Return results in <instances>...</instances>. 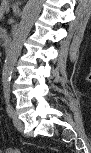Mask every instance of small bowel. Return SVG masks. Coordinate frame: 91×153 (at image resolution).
Returning <instances> with one entry per match:
<instances>
[{
	"mask_svg": "<svg viewBox=\"0 0 91 153\" xmlns=\"http://www.w3.org/2000/svg\"><path fill=\"white\" fill-rule=\"evenodd\" d=\"M5 152L6 153H18V149L11 148V149H7Z\"/></svg>",
	"mask_w": 91,
	"mask_h": 153,
	"instance_id": "c3829d8e",
	"label": "small bowel"
}]
</instances>
